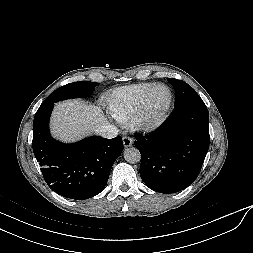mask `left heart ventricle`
Instances as JSON below:
<instances>
[{
    "label": "left heart ventricle",
    "mask_w": 253,
    "mask_h": 253,
    "mask_svg": "<svg viewBox=\"0 0 253 253\" xmlns=\"http://www.w3.org/2000/svg\"><path fill=\"white\" fill-rule=\"evenodd\" d=\"M169 98V91L166 88H157L148 101L146 108L147 115L149 117L159 116L167 107Z\"/></svg>",
    "instance_id": "1"
}]
</instances>
